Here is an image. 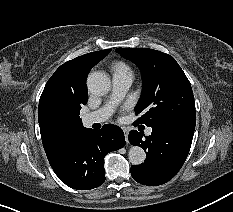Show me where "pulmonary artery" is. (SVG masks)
Returning a JSON list of instances; mask_svg holds the SVG:
<instances>
[{"mask_svg":"<svg viewBox=\"0 0 233 212\" xmlns=\"http://www.w3.org/2000/svg\"><path fill=\"white\" fill-rule=\"evenodd\" d=\"M133 81L131 73H115L113 75V90L111 99L100 109L83 115L85 125L90 126L94 123L106 121L113 113L115 105L125 96ZM152 129L148 128L146 134L150 135Z\"/></svg>","mask_w":233,"mask_h":212,"instance_id":"1","label":"pulmonary artery"}]
</instances>
